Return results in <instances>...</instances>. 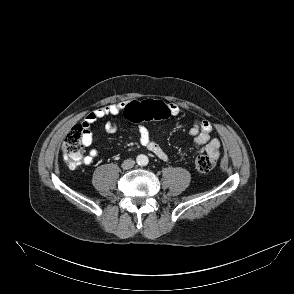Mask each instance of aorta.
Wrapping results in <instances>:
<instances>
[{
  "instance_id": "1",
  "label": "aorta",
  "mask_w": 294,
  "mask_h": 294,
  "mask_svg": "<svg viewBox=\"0 0 294 294\" xmlns=\"http://www.w3.org/2000/svg\"><path fill=\"white\" fill-rule=\"evenodd\" d=\"M136 161L139 165H146L148 163V157L146 155H138Z\"/></svg>"
}]
</instances>
